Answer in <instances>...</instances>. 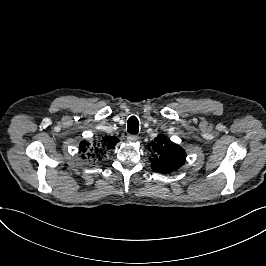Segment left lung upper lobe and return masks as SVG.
Masks as SVG:
<instances>
[{
	"instance_id": "1",
	"label": "left lung upper lobe",
	"mask_w": 266,
	"mask_h": 266,
	"mask_svg": "<svg viewBox=\"0 0 266 266\" xmlns=\"http://www.w3.org/2000/svg\"><path fill=\"white\" fill-rule=\"evenodd\" d=\"M149 149L152 150L151 168L156 172L171 173L183 166L186 160L185 150L164 135H158Z\"/></svg>"
}]
</instances>
